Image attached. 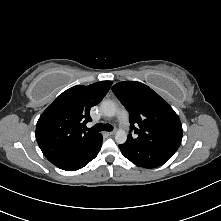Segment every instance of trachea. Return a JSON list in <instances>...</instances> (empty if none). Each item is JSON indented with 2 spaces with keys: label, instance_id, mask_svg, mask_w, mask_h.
<instances>
[{
  "label": "trachea",
  "instance_id": "obj_1",
  "mask_svg": "<svg viewBox=\"0 0 221 221\" xmlns=\"http://www.w3.org/2000/svg\"><path fill=\"white\" fill-rule=\"evenodd\" d=\"M90 131H95V132H99V131H112L113 130V126L110 124H102V123H98L96 125H94L92 128L88 129Z\"/></svg>",
  "mask_w": 221,
  "mask_h": 221
}]
</instances>
